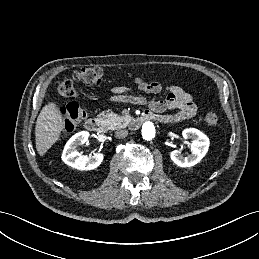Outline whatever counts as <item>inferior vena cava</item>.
<instances>
[{
  "mask_svg": "<svg viewBox=\"0 0 259 259\" xmlns=\"http://www.w3.org/2000/svg\"><path fill=\"white\" fill-rule=\"evenodd\" d=\"M127 135H128V131L125 129H119L115 132V137L118 139L125 138L127 137Z\"/></svg>",
  "mask_w": 259,
  "mask_h": 259,
  "instance_id": "1",
  "label": "inferior vena cava"
}]
</instances>
